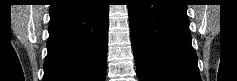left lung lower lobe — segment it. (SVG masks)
<instances>
[{
  "label": "left lung lower lobe",
  "mask_w": 237,
  "mask_h": 81,
  "mask_svg": "<svg viewBox=\"0 0 237 81\" xmlns=\"http://www.w3.org/2000/svg\"><path fill=\"white\" fill-rule=\"evenodd\" d=\"M130 34L140 81H201L183 0H133Z\"/></svg>",
  "instance_id": "0a47b994"
}]
</instances>
